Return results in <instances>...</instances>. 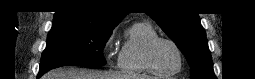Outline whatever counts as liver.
<instances>
[{
	"label": "liver",
	"mask_w": 255,
	"mask_h": 79,
	"mask_svg": "<svg viewBox=\"0 0 255 79\" xmlns=\"http://www.w3.org/2000/svg\"><path fill=\"white\" fill-rule=\"evenodd\" d=\"M42 79H153L150 76H126L98 70L60 67L46 73Z\"/></svg>",
	"instance_id": "liver-1"
}]
</instances>
